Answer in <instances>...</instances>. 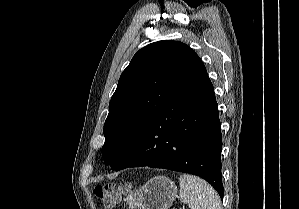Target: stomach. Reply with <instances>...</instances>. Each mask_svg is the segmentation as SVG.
Instances as JSON below:
<instances>
[{
  "label": "stomach",
  "mask_w": 299,
  "mask_h": 209,
  "mask_svg": "<svg viewBox=\"0 0 299 209\" xmlns=\"http://www.w3.org/2000/svg\"><path fill=\"white\" fill-rule=\"evenodd\" d=\"M176 198L175 182L165 176H156L126 198V202L130 209H168Z\"/></svg>",
  "instance_id": "1"
}]
</instances>
